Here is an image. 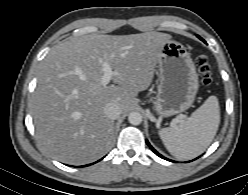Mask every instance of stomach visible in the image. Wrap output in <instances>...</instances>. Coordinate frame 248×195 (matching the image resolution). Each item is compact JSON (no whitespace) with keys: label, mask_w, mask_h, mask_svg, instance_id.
<instances>
[{"label":"stomach","mask_w":248,"mask_h":195,"mask_svg":"<svg viewBox=\"0 0 248 195\" xmlns=\"http://www.w3.org/2000/svg\"><path fill=\"white\" fill-rule=\"evenodd\" d=\"M160 82L153 110L170 117L191 107L198 91V74L187 49L171 40L164 43L158 61Z\"/></svg>","instance_id":"obj_1"}]
</instances>
